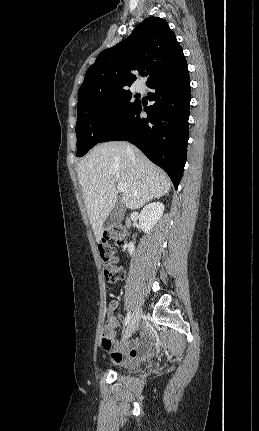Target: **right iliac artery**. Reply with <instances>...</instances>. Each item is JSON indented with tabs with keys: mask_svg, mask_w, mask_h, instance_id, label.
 Instances as JSON below:
<instances>
[{
	"mask_svg": "<svg viewBox=\"0 0 259 431\" xmlns=\"http://www.w3.org/2000/svg\"><path fill=\"white\" fill-rule=\"evenodd\" d=\"M130 319H131V313L128 312V314H127V316L125 318L124 326H126L129 323Z\"/></svg>",
	"mask_w": 259,
	"mask_h": 431,
	"instance_id": "right-iliac-artery-1",
	"label": "right iliac artery"
}]
</instances>
